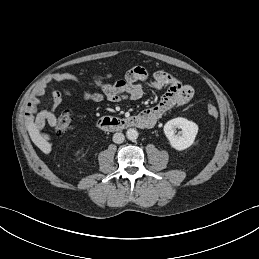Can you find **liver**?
<instances>
[{
  "mask_svg": "<svg viewBox=\"0 0 259 259\" xmlns=\"http://www.w3.org/2000/svg\"><path fill=\"white\" fill-rule=\"evenodd\" d=\"M27 130L33 143L45 154H49L52 150V143L48 134L41 133L39 127L32 120L27 122Z\"/></svg>",
  "mask_w": 259,
  "mask_h": 259,
  "instance_id": "obj_1",
  "label": "liver"
}]
</instances>
